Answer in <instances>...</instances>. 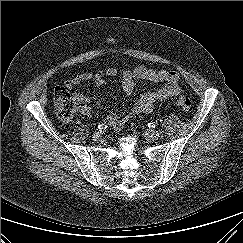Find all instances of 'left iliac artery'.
Returning a JSON list of instances; mask_svg holds the SVG:
<instances>
[{"label":"left iliac artery","instance_id":"1","mask_svg":"<svg viewBox=\"0 0 243 243\" xmlns=\"http://www.w3.org/2000/svg\"><path fill=\"white\" fill-rule=\"evenodd\" d=\"M155 126H156V125H155L153 122L148 123V127H149L150 129L155 128Z\"/></svg>","mask_w":243,"mask_h":243}]
</instances>
